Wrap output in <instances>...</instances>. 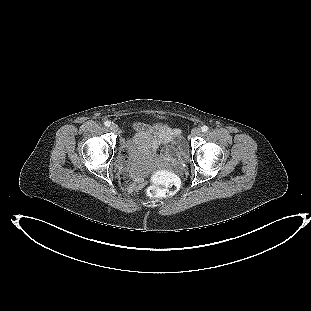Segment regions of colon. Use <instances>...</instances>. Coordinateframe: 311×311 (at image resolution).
<instances>
[{"label": "colon", "mask_w": 311, "mask_h": 311, "mask_svg": "<svg viewBox=\"0 0 311 311\" xmlns=\"http://www.w3.org/2000/svg\"><path fill=\"white\" fill-rule=\"evenodd\" d=\"M127 154H125L126 156ZM126 178L121 173L120 182L126 185ZM152 185L147 189V194L151 198H167L174 195L179 186V180L169 170H157L151 174Z\"/></svg>", "instance_id": "obj_1"}]
</instances>
